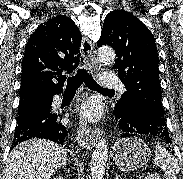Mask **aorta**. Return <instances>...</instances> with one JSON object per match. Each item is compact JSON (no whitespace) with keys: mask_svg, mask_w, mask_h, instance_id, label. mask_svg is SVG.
<instances>
[{"mask_svg":"<svg viewBox=\"0 0 183 179\" xmlns=\"http://www.w3.org/2000/svg\"><path fill=\"white\" fill-rule=\"evenodd\" d=\"M99 58L103 63L112 64L115 61V52L112 48L102 47L99 49ZM108 158V142L102 138L97 143L91 159V177L92 179H103L105 166Z\"/></svg>","mask_w":183,"mask_h":179,"instance_id":"aorta-1","label":"aorta"}]
</instances>
